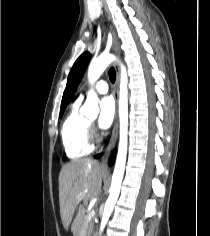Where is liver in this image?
<instances>
[{
  "mask_svg": "<svg viewBox=\"0 0 210 236\" xmlns=\"http://www.w3.org/2000/svg\"><path fill=\"white\" fill-rule=\"evenodd\" d=\"M105 173L98 162L90 159L74 160L62 167L59 174V202L61 219L66 230L69 229L75 209L83 202L71 225L73 233L81 230L84 206L100 194Z\"/></svg>",
  "mask_w": 210,
  "mask_h": 236,
  "instance_id": "1",
  "label": "liver"
}]
</instances>
